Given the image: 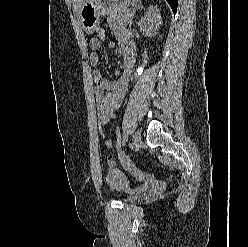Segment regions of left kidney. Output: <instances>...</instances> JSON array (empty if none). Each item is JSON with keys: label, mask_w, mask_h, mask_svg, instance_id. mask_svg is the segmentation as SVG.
<instances>
[{"label": "left kidney", "mask_w": 248, "mask_h": 247, "mask_svg": "<svg viewBox=\"0 0 248 247\" xmlns=\"http://www.w3.org/2000/svg\"><path fill=\"white\" fill-rule=\"evenodd\" d=\"M162 24V18L157 6L149 7L139 21L140 32L148 37L155 36Z\"/></svg>", "instance_id": "5707ae66"}]
</instances>
